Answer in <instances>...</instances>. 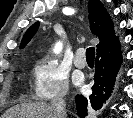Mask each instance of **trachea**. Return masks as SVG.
Here are the masks:
<instances>
[{
	"instance_id": "1",
	"label": "trachea",
	"mask_w": 133,
	"mask_h": 118,
	"mask_svg": "<svg viewBox=\"0 0 133 118\" xmlns=\"http://www.w3.org/2000/svg\"><path fill=\"white\" fill-rule=\"evenodd\" d=\"M86 58H87V60H94V58H95V48L94 47L87 48Z\"/></svg>"
}]
</instances>
